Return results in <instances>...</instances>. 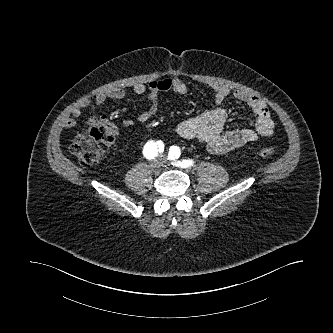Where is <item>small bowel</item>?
<instances>
[{
  "instance_id": "c3829d8e",
  "label": "small bowel",
  "mask_w": 333,
  "mask_h": 333,
  "mask_svg": "<svg viewBox=\"0 0 333 333\" xmlns=\"http://www.w3.org/2000/svg\"><path fill=\"white\" fill-rule=\"evenodd\" d=\"M215 108L207 110L202 114L186 119L176 127V134L185 139H197L203 142L211 154H226L247 143L256 141L259 137L271 136L274 132V122L266 104L257 96L245 91L231 90L224 85H213ZM174 92L178 95L188 93V86L178 77H165L158 80H151L147 85L136 84L133 92L136 95L147 94L149 106L138 115L140 122L148 121L154 116L158 109V98L161 92ZM232 93L239 101L246 104L254 115L253 128H242L233 130H224L227 119V113L219 107L224 100ZM126 92L121 88H112L106 92L99 93L92 99H84L77 105L71 113V117L64 120L65 128H72L76 125L83 109L86 107L102 106L108 99L122 100ZM87 125H102L111 130L115 135H119L117 126L112 120L104 115L100 118L90 117Z\"/></svg>"
}]
</instances>
